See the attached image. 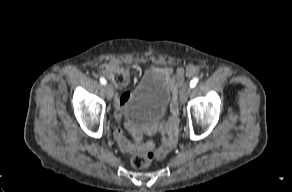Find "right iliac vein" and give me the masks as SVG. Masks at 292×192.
<instances>
[{
  "instance_id": "obj_1",
  "label": "right iliac vein",
  "mask_w": 292,
  "mask_h": 192,
  "mask_svg": "<svg viewBox=\"0 0 292 192\" xmlns=\"http://www.w3.org/2000/svg\"><path fill=\"white\" fill-rule=\"evenodd\" d=\"M105 91H106L107 98L109 100H111L113 98V95H114L113 87L110 84H107L105 86Z\"/></svg>"
}]
</instances>
